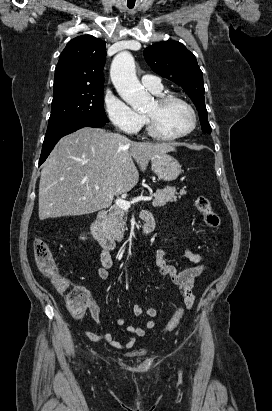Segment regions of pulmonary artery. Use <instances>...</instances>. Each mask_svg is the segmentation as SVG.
Instances as JSON below:
<instances>
[{
    "mask_svg": "<svg viewBox=\"0 0 272 411\" xmlns=\"http://www.w3.org/2000/svg\"><path fill=\"white\" fill-rule=\"evenodd\" d=\"M143 85L150 91H161L163 86L161 84L160 78L154 75H144L141 78Z\"/></svg>",
    "mask_w": 272,
    "mask_h": 411,
    "instance_id": "obj_1",
    "label": "pulmonary artery"
}]
</instances>
